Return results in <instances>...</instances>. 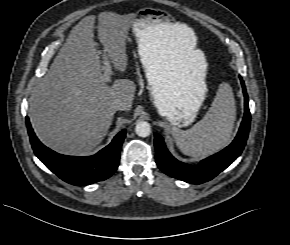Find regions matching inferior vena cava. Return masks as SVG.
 <instances>
[{"label": "inferior vena cava", "mask_w": 290, "mask_h": 245, "mask_svg": "<svg viewBox=\"0 0 290 245\" xmlns=\"http://www.w3.org/2000/svg\"><path fill=\"white\" fill-rule=\"evenodd\" d=\"M111 109L116 112L118 110H123L124 107H123V104L120 102V101H115L112 103L111 105Z\"/></svg>", "instance_id": "obj_1"}]
</instances>
